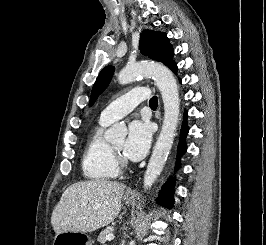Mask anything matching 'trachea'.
Here are the masks:
<instances>
[{"label": "trachea", "instance_id": "3493384b", "mask_svg": "<svg viewBox=\"0 0 266 245\" xmlns=\"http://www.w3.org/2000/svg\"><path fill=\"white\" fill-rule=\"evenodd\" d=\"M149 105H157V97H152L149 101Z\"/></svg>", "mask_w": 266, "mask_h": 245}]
</instances>
